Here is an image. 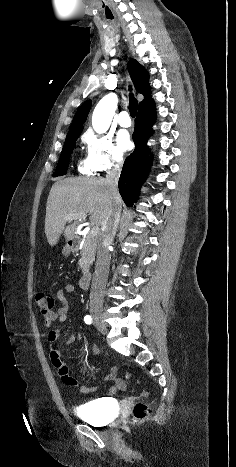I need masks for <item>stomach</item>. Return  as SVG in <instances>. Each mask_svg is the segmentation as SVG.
<instances>
[{
  "instance_id": "1",
  "label": "stomach",
  "mask_w": 236,
  "mask_h": 467,
  "mask_svg": "<svg viewBox=\"0 0 236 467\" xmlns=\"http://www.w3.org/2000/svg\"><path fill=\"white\" fill-rule=\"evenodd\" d=\"M73 251V247L66 245L62 251L65 256H68Z\"/></svg>"
}]
</instances>
